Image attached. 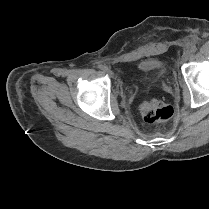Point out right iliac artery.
<instances>
[{"mask_svg": "<svg viewBox=\"0 0 209 209\" xmlns=\"http://www.w3.org/2000/svg\"><path fill=\"white\" fill-rule=\"evenodd\" d=\"M98 68H100L101 70H104L105 69V66L99 65Z\"/></svg>", "mask_w": 209, "mask_h": 209, "instance_id": "obj_1", "label": "right iliac artery"}]
</instances>
